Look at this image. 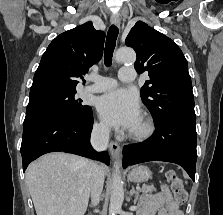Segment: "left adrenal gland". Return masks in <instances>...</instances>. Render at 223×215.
<instances>
[{
	"label": "left adrenal gland",
	"instance_id": "1",
	"mask_svg": "<svg viewBox=\"0 0 223 215\" xmlns=\"http://www.w3.org/2000/svg\"><path fill=\"white\" fill-rule=\"evenodd\" d=\"M133 193L135 195V199H134L133 203H136L137 199H139L140 191H139V189H137V191H136V189H134V185H132V189H130L129 195H133Z\"/></svg>",
	"mask_w": 223,
	"mask_h": 215
}]
</instances>
